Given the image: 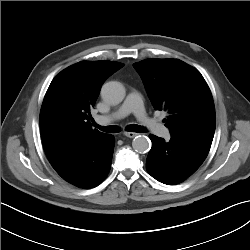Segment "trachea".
Masks as SVG:
<instances>
[{
  "mask_svg": "<svg viewBox=\"0 0 250 250\" xmlns=\"http://www.w3.org/2000/svg\"><path fill=\"white\" fill-rule=\"evenodd\" d=\"M93 125L100 129L103 132H107V133H118L120 132V128L116 125H112V126H100L97 123L93 122ZM126 130L129 132H137V133H144L146 132V129L142 126L136 125V124H131L128 125L126 127Z\"/></svg>",
  "mask_w": 250,
  "mask_h": 250,
  "instance_id": "obj_1",
  "label": "trachea"
}]
</instances>
